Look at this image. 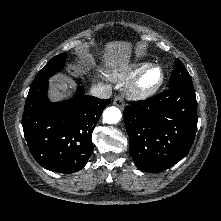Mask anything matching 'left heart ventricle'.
Returning <instances> with one entry per match:
<instances>
[{
	"instance_id": "obj_1",
	"label": "left heart ventricle",
	"mask_w": 221,
	"mask_h": 221,
	"mask_svg": "<svg viewBox=\"0 0 221 221\" xmlns=\"http://www.w3.org/2000/svg\"><path fill=\"white\" fill-rule=\"evenodd\" d=\"M158 77H159V71L158 70H152L146 76V82L147 83H154V82L157 81Z\"/></svg>"
}]
</instances>
